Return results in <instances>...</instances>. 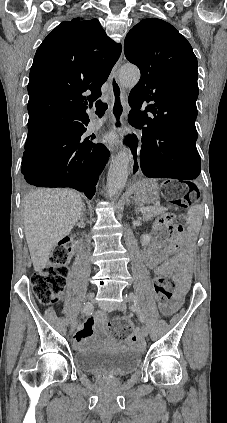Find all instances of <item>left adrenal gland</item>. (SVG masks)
Instances as JSON below:
<instances>
[{"label":"left adrenal gland","instance_id":"1","mask_svg":"<svg viewBox=\"0 0 227 423\" xmlns=\"http://www.w3.org/2000/svg\"><path fill=\"white\" fill-rule=\"evenodd\" d=\"M135 206H136V208H135V213H138V211H139V206H138V204H135Z\"/></svg>","mask_w":227,"mask_h":423}]
</instances>
